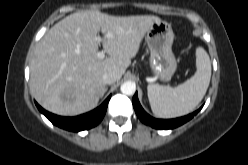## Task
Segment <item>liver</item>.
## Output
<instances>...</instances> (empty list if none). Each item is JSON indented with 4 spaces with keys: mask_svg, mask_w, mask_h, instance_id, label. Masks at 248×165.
I'll use <instances>...</instances> for the list:
<instances>
[{
    "mask_svg": "<svg viewBox=\"0 0 248 165\" xmlns=\"http://www.w3.org/2000/svg\"><path fill=\"white\" fill-rule=\"evenodd\" d=\"M156 16L118 17L80 11L56 23L38 42L30 65V90L46 110L75 116L94 109L105 88L103 75L122 77ZM102 32L101 41L96 40ZM111 33L112 37H106ZM100 43L109 57H97Z\"/></svg>",
    "mask_w": 248,
    "mask_h": 165,
    "instance_id": "obj_1",
    "label": "liver"
}]
</instances>
